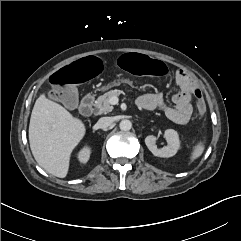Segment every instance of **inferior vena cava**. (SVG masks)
I'll list each match as a JSON object with an SVG mask.
<instances>
[{
	"label": "inferior vena cava",
	"mask_w": 241,
	"mask_h": 241,
	"mask_svg": "<svg viewBox=\"0 0 241 241\" xmlns=\"http://www.w3.org/2000/svg\"><path fill=\"white\" fill-rule=\"evenodd\" d=\"M111 124H112V118L111 117H101L97 122V126L101 129L107 128Z\"/></svg>",
	"instance_id": "1"
}]
</instances>
